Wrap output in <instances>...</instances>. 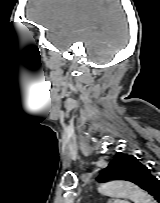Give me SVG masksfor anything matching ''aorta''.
<instances>
[{
	"mask_svg": "<svg viewBox=\"0 0 160 203\" xmlns=\"http://www.w3.org/2000/svg\"><path fill=\"white\" fill-rule=\"evenodd\" d=\"M101 193L125 197L134 203H154L152 197L137 185L125 181H109L100 186Z\"/></svg>",
	"mask_w": 160,
	"mask_h": 203,
	"instance_id": "aorta-1",
	"label": "aorta"
}]
</instances>
